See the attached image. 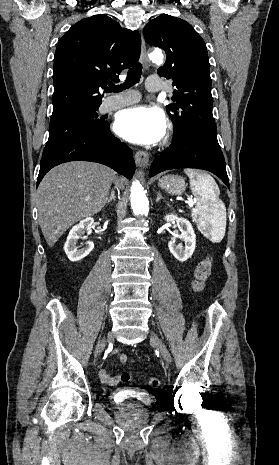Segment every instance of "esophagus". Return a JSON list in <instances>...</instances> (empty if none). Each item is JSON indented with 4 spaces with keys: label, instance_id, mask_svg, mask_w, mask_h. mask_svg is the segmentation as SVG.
Returning <instances> with one entry per match:
<instances>
[{
    "label": "esophagus",
    "instance_id": "34e87169",
    "mask_svg": "<svg viewBox=\"0 0 279 465\" xmlns=\"http://www.w3.org/2000/svg\"><path fill=\"white\" fill-rule=\"evenodd\" d=\"M140 60L144 66V68L149 67V59L146 52V45L141 34V53H140ZM135 162L138 167H147L149 163V155L144 151H137L135 154Z\"/></svg>",
    "mask_w": 279,
    "mask_h": 465
}]
</instances>
